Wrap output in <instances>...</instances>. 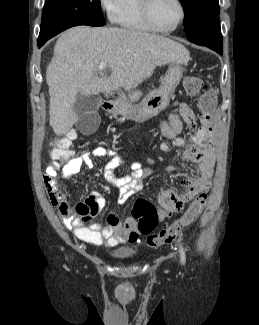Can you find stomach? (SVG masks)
Returning <instances> with one entry per match:
<instances>
[{"label": "stomach", "mask_w": 259, "mask_h": 325, "mask_svg": "<svg viewBox=\"0 0 259 325\" xmlns=\"http://www.w3.org/2000/svg\"><path fill=\"white\" fill-rule=\"evenodd\" d=\"M183 76V68L177 62L171 63L160 87L151 91L139 104L130 105L120 101L110 102L105 110L113 115H123L137 122H144L163 111L169 104Z\"/></svg>", "instance_id": "stomach-1"}]
</instances>
